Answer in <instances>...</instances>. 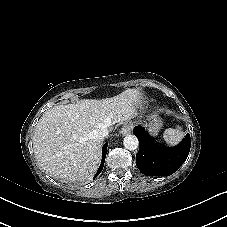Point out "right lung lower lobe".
<instances>
[{"label": "right lung lower lobe", "mask_w": 227, "mask_h": 227, "mask_svg": "<svg viewBox=\"0 0 227 227\" xmlns=\"http://www.w3.org/2000/svg\"><path fill=\"white\" fill-rule=\"evenodd\" d=\"M107 143L106 144H104L103 145V150H102V161H101V164H100V167H99V169H98V171H97V173H96V175H95V177L94 178H96L100 173H101V171H102V169H103V166H104V162H105V158H106V153H107Z\"/></svg>", "instance_id": "1"}]
</instances>
